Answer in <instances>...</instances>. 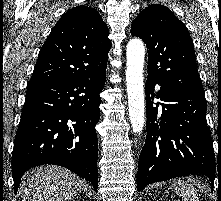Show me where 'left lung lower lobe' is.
I'll return each instance as SVG.
<instances>
[{
    "instance_id": "left-lung-lower-lobe-1",
    "label": "left lung lower lobe",
    "mask_w": 221,
    "mask_h": 201,
    "mask_svg": "<svg viewBox=\"0 0 221 201\" xmlns=\"http://www.w3.org/2000/svg\"><path fill=\"white\" fill-rule=\"evenodd\" d=\"M148 76L146 81L147 136L139 157L137 190L174 177L194 174L215 179V155L206 121L205 95L168 89ZM160 103L153 105V99Z\"/></svg>"
}]
</instances>
